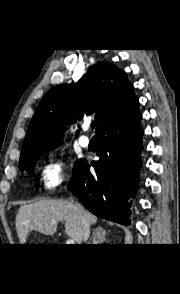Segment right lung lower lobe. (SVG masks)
I'll list each match as a JSON object with an SVG mask.
<instances>
[{
  "label": "right lung lower lobe",
  "mask_w": 180,
  "mask_h": 294,
  "mask_svg": "<svg viewBox=\"0 0 180 294\" xmlns=\"http://www.w3.org/2000/svg\"><path fill=\"white\" fill-rule=\"evenodd\" d=\"M138 103L137 98L132 100L98 130L100 159L91 163L96 174L90 173V165L83 160L68 185L93 214L124 225L130 224L128 199L136 194L142 166L143 130Z\"/></svg>",
  "instance_id": "right-lung-lower-lobe-1"
}]
</instances>
